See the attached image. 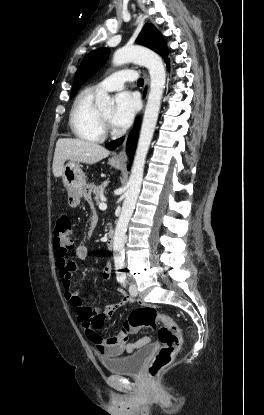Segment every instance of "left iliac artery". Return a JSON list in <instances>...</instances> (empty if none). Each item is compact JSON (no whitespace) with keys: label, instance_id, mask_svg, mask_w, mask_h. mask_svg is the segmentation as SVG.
I'll return each mask as SVG.
<instances>
[{"label":"left iliac artery","instance_id":"1","mask_svg":"<svg viewBox=\"0 0 264 415\" xmlns=\"http://www.w3.org/2000/svg\"><path fill=\"white\" fill-rule=\"evenodd\" d=\"M120 282H122L124 286L126 285V276L125 275L122 276V279H121Z\"/></svg>","mask_w":264,"mask_h":415}]
</instances>
